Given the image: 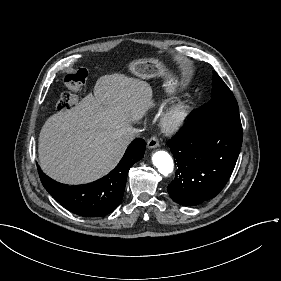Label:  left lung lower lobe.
<instances>
[{
  "label": "left lung lower lobe",
  "instance_id": "obj_1",
  "mask_svg": "<svg viewBox=\"0 0 281 281\" xmlns=\"http://www.w3.org/2000/svg\"><path fill=\"white\" fill-rule=\"evenodd\" d=\"M242 137L238 112L195 110L168 143L178 166L168 185L170 197L180 205L196 206L218 195L235 167Z\"/></svg>",
  "mask_w": 281,
  "mask_h": 281
}]
</instances>
